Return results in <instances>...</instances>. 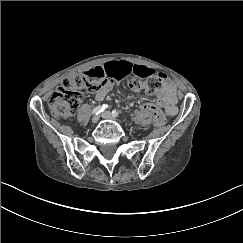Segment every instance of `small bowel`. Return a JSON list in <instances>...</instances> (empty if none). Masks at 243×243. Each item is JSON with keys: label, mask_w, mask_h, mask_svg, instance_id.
<instances>
[{"label": "small bowel", "mask_w": 243, "mask_h": 243, "mask_svg": "<svg viewBox=\"0 0 243 243\" xmlns=\"http://www.w3.org/2000/svg\"><path fill=\"white\" fill-rule=\"evenodd\" d=\"M86 74L100 76L99 85L95 90V97L98 101L103 100L112 90L114 81L120 80L130 74L143 78L157 76L161 78L164 83V89L158 95L159 105L169 116H175L178 113V108L176 106L178 99L173 83L164 74H157L154 70L146 66L135 65L128 61H115L106 63L103 66L94 67ZM107 77L110 78V80H107Z\"/></svg>", "instance_id": "obj_1"}]
</instances>
